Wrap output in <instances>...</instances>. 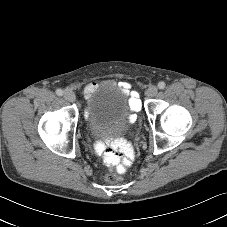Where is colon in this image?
Masks as SVG:
<instances>
[{
  "label": "colon",
  "mask_w": 227,
  "mask_h": 227,
  "mask_svg": "<svg viewBox=\"0 0 227 227\" xmlns=\"http://www.w3.org/2000/svg\"><path fill=\"white\" fill-rule=\"evenodd\" d=\"M123 157V152L114 149H108L105 152L104 160L108 165H116L117 163L122 161ZM124 170L125 167L118 169V171L109 170L105 175V180L111 184L119 182L122 179L121 173Z\"/></svg>",
  "instance_id": "5ec220e1"
}]
</instances>
